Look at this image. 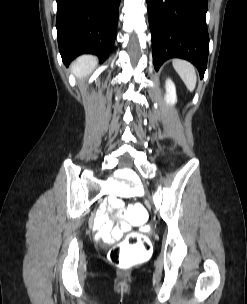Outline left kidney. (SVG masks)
Instances as JSON below:
<instances>
[{"mask_svg":"<svg viewBox=\"0 0 247 304\" xmlns=\"http://www.w3.org/2000/svg\"><path fill=\"white\" fill-rule=\"evenodd\" d=\"M165 99L168 104H174L177 101L175 85L170 79H168L166 81V98Z\"/></svg>","mask_w":247,"mask_h":304,"instance_id":"left-kidney-1","label":"left kidney"}]
</instances>
